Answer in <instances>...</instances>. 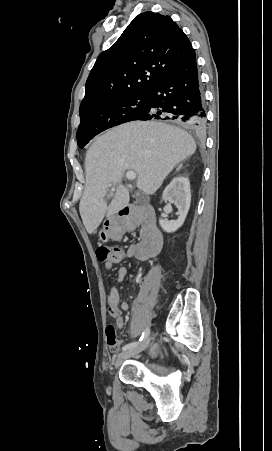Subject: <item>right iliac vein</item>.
I'll use <instances>...</instances> for the list:
<instances>
[{
	"label": "right iliac vein",
	"instance_id": "63e3f726",
	"mask_svg": "<svg viewBox=\"0 0 272 451\" xmlns=\"http://www.w3.org/2000/svg\"><path fill=\"white\" fill-rule=\"evenodd\" d=\"M150 342V337H146L145 339H143L142 342H140L137 346L132 347L130 349H127L125 351H123L119 356L118 359L116 361L115 366L118 367L120 366L123 361L127 358H130L132 356H135L137 354H139L140 352H142L143 350H145Z\"/></svg>",
	"mask_w": 272,
	"mask_h": 451
}]
</instances>
